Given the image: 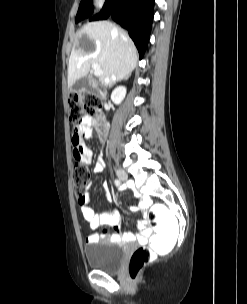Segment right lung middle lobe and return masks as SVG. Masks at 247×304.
<instances>
[{
    "mask_svg": "<svg viewBox=\"0 0 247 304\" xmlns=\"http://www.w3.org/2000/svg\"><path fill=\"white\" fill-rule=\"evenodd\" d=\"M92 0H81L75 22L88 18L93 13Z\"/></svg>",
    "mask_w": 247,
    "mask_h": 304,
    "instance_id": "dd1d6c3e",
    "label": "right lung middle lobe"
}]
</instances>
